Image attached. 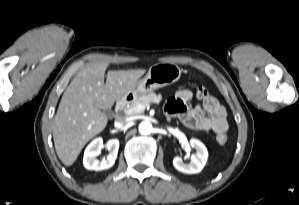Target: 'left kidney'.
<instances>
[{
    "instance_id": "obj_1",
    "label": "left kidney",
    "mask_w": 299,
    "mask_h": 205,
    "mask_svg": "<svg viewBox=\"0 0 299 205\" xmlns=\"http://www.w3.org/2000/svg\"><path fill=\"white\" fill-rule=\"evenodd\" d=\"M190 145L196 150V153L191 156L190 163H184L180 157H175L173 159V165L182 173L195 174L201 172L205 166L208 159V151L205 145L197 139L192 138Z\"/></svg>"
}]
</instances>
